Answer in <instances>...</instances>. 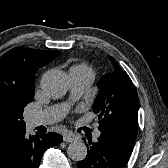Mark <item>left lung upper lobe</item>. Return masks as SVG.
I'll use <instances>...</instances> for the list:
<instances>
[{"label":"left lung upper lobe","instance_id":"left-lung-upper-lobe-1","mask_svg":"<svg viewBox=\"0 0 168 168\" xmlns=\"http://www.w3.org/2000/svg\"><path fill=\"white\" fill-rule=\"evenodd\" d=\"M109 58L115 70L100 79L99 93L93 105L94 113L100 119L98 129H116L136 137L139 108L137 91L118 62L113 57Z\"/></svg>","mask_w":168,"mask_h":168}]
</instances>
